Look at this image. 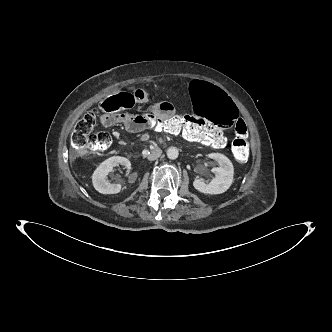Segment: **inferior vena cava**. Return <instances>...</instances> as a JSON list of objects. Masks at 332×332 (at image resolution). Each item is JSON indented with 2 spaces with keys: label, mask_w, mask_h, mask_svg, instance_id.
<instances>
[{
  "label": "inferior vena cava",
  "mask_w": 332,
  "mask_h": 332,
  "mask_svg": "<svg viewBox=\"0 0 332 332\" xmlns=\"http://www.w3.org/2000/svg\"><path fill=\"white\" fill-rule=\"evenodd\" d=\"M161 153H162V150L159 148L152 151L151 154L148 155V160L153 161V160L158 159L160 157Z\"/></svg>",
  "instance_id": "inferior-vena-cava-1"
}]
</instances>
